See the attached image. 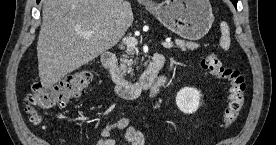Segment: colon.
<instances>
[{
	"label": "colon",
	"instance_id": "1",
	"mask_svg": "<svg viewBox=\"0 0 276 145\" xmlns=\"http://www.w3.org/2000/svg\"><path fill=\"white\" fill-rule=\"evenodd\" d=\"M204 70L219 80L228 83V103L223 114V125H232L240 115L245 103L246 82L239 70L224 67L216 52L207 54L201 61ZM93 75L90 71H80L67 75L52 86L34 83L26 98V111L31 121L39 125L43 111L66 104L83 93L90 85Z\"/></svg>",
	"mask_w": 276,
	"mask_h": 145
}]
</instances>
